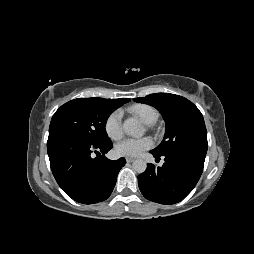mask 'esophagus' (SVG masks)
I'll use <instances>...</instances> for the list:
<instances>
[{
  "instance_id": "34e87169",
  "label": "esophagus",
  "mask_w": 254,
  "mask_h": 254,
  "mask_svg": "<svg viewBox=\"0 0 254 254\" xmlns=\"http://www.w3.org/2000/svg\"><path fill=\"white\" fill-rule=\"evenodd\" d=\"M126 161H127L128 163H131V162L134 161V158H132V157H126Z\"/></svg>"
}]
</instances>
